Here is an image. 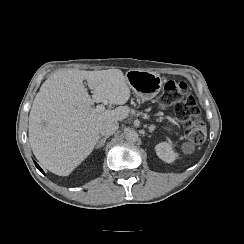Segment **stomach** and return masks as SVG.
I'll list each match as a JSON object with an SVG mask.
<instances>
[{"instance_id":"stomach-1","label":"stomach","mask_w":244,"mask_h":244,"mask_svg":"<svg viewBox=\"0 0 244 244\" xmlns=\"http://www.w3.org/2000/svg\"><path fill=\"white\" fill-rule=\"evenodd\" d=\"M125 78L133 93L142 100L153 99L163 85L159 74L147 70L131 69L126 72Z\"/></svg>"}]
</instances>
